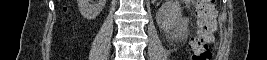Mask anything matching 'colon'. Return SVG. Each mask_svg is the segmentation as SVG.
Listing matches in <instances>:
<instances>
[{"label": "colon", "mask_w": 267, "mask_h": 60, "mask_svg": "<svg viewBox=\"0 0 267 60\" xmlns=\"http://www.w3.org/2000/svg\"><path fill=\"white\" fill-rule=\"evenodd\" d=\"M216 0L196 1V17L198 30L191 38L192 59L208 60L212 57L209 34L214 26L216 16Z\"/></svg>", "instance_id": "obj_1"}]
</instances>
